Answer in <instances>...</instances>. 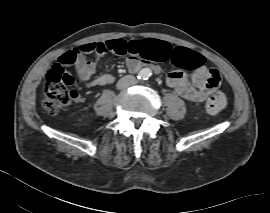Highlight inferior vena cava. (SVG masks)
<instances>
[{"label":"inferior vena cava","instance_id":"1","mask_svg":"<svg viewBox=\"0 0 270 213\" xmlns=\"http://www.w3.org/2000/svg\"><path fill=\"white\" fill-rule=\"evenodd\" d=\"M136 83V80L133 76L128 75L120 79L119 88H126Z\"/></svg>","mask_w":270,"mask_h":213}]
</instances>
